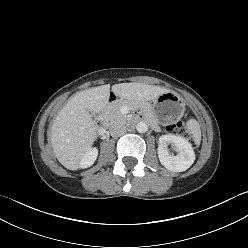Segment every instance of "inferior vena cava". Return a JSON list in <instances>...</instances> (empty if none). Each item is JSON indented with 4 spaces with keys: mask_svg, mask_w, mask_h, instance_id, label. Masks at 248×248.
<instances>
[{
    "mask_svg": "<svg viewBox=\"0 0 248 248\" xmlns=\"http://www.w3.org/2000/svg\"><path fill=\"white\" fill-rule=\"evenodd\" d=\"M126 131H127L126 127L119 122L113 123L110 127V133L114 137L121 136V135L125 134Z\"/></svg>",
    "mask_w": 248,
    "mask_h": 248,
    "instance_id": "inferior-vena-cava-1",
    "label": "inferior vena cava"
}]
</instances>
